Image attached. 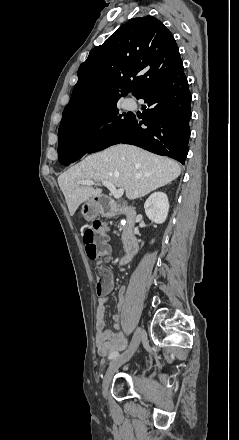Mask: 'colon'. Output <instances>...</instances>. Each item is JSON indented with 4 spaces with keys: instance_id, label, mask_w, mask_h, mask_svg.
<instances>
[{
    "instance_id": "colon-1",
    "label": "colon",
    "mask_w": 239,
    "mask_h": 440,
    "mask_svg": "<svg viewBox=\"0 0 239 440\" xmlns=\"http://www.w3.org/2000/svg\"><path fill=\"white\" fill-rule=\"evenodd\" d=\"M83 241L90 260L101 263L108 258L111 247L106 234V226L100 220H95L93 226L85 230ZM96 285L98 294L104 293L109 285L108 271L103 267L97 270Z\"/></svg>"
}]
</instances>
